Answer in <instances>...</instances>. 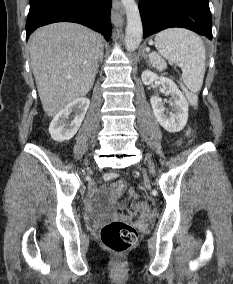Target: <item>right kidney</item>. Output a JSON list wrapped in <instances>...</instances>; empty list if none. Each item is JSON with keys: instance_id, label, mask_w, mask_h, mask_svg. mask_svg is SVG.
Here are the masks:
<instances>
[{"instance_id": "ca27d5eb", "label": "right kidney", "mask_w": 233, "mask_h": 284, "mask_svg": "<svg viewBox=\"0 0 233 284\" xmlns=\"http://www.w3.org/2000/svg\"><path fill=\"white\" fill-rule=\"evenodd\" d=\"M90 100L85 97L70 102L52 120L49 126V133L53 140L62 142L70 140L78 131L85 117ZM73 119L69 121V116Z\"/></svg>"}]
</instances>
